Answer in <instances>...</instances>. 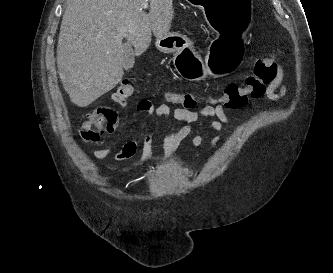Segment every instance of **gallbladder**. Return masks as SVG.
<instances>
[{
	"instance_id": "1",
	"label": "gallbladder",
	"mask_w": 333,
	"mask_h": 273,
	"mask_svg": "<svg viewBox=\"0 0 333 273\" xmlns=\"http://www.w3.org/2000/svg\"><path fill=\"white\" fill-rule=\"evenodd\" d=\"M122 67L125 70H130L135 61H134V52L130 43H125L122 45Z\"/></svg>"
}]
</instances>
